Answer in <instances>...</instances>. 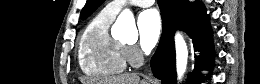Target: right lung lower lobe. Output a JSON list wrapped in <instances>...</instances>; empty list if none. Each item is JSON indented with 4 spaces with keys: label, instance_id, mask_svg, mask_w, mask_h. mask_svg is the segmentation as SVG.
<instances>
[{
    "label": "right lung lower lobe",
    "instance_id": "right-lung-lower-lobe-1",
    "mask_svg": "<svg viewBox=\"0 0 260 84\" xmlns=\"http://www.w3.org/2000/svg\"><path fill=\"white\" fill-rule=\"evenodd\" d=\"M160 7L163 32L158 48L151 59V68L162 84H175V46L174 32L183 29L193 39L196 50L201 52L196 64V70L190 77V83L195 84L202 75V69H211L213 65L214 48L209 18L200 2L190 3L188 0H157Z\"/></svg>",
    "mask_w": 260,
    "mask_h": 84
}]
</instances>
